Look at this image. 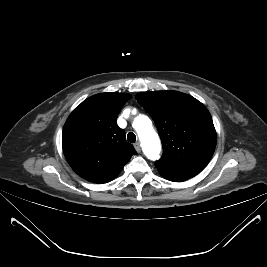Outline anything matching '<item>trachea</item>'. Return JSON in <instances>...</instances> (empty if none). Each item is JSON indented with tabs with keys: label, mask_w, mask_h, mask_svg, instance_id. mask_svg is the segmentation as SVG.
I'll use <instances>...</instances> for the list:
<instances>
[{
	"label": "trachea",
	"mask_w": 267,
	"mask_h": 267,
	"mask_svg": "<svg viewBox=\"0 0 267 267\" xmlns=\"http://www.w3.org/2000/svg\"><path fill=\"white\" fill-rule=\"evenodd\" d=\"M127 140L130 142V143H134L136 141V136L133 132H129L128 135H127Z\"/></svg>",
	"instance_id": "1"
}]
</instances>
